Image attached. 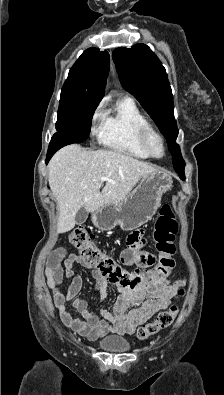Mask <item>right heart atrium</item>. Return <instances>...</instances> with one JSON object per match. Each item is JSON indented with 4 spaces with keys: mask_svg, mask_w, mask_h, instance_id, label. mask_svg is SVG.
<instances>
[{
    "mask_svg": "<svg viewBox=\"0 0 224 395\" xmlns=\"http://www.w3.org/2000/svg\"><path fill=\"white\" fill-rule=\"evenodd\" d=\"M106 103L101 100L94 108L90 118L91 133L99 135L106 118Z\"/></svg>",
    "mask_w": 224,
    "mask_h": 395,
    "instance_id": "right-heart-atrium-1",
    "label": "right heart atrium"
}]
</instances>
